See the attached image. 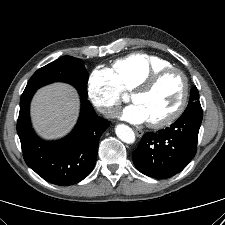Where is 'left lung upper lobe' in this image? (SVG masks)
Here are the masks:
<instances>
[{"instance_id":"1","label":"left lung upper lobe","mask_w":225,"mask_h":225,"mask_svg":"<svg viewBox=\"0 0 225 225\" xmlns=\"http://www.w3.org/2000/svg\"><path fill=\"white\" fill-rule=\"evenodd\" d=\"M190 93H191V95H190V99H189V104L186 109H188L190 107H194V106H201L200 101H199V92H198L196 86H194L191 89Z\"/></svg>"}]
</instances>
